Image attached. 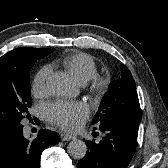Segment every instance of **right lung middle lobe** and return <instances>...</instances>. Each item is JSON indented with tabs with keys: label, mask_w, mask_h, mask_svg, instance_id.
Returning a JSON list of instances; mask_svg holds the SVG:
<instances>
[{
	"label": "right lung middle lobe",
	"mask_w": 168,
	"mask_h": 168,
	"mask_svg": "<svg viewBox=\"0 0 168 168\" xmlns=\"http://www.w3.org/2000/svg\"><path fill=\"white\" fill-rule=\"evenodd\" d=\"M53 49L25 53L17 65L6 75L0 77V129L20 125L31 107L29 70L37 59L51 53Z\"/></svg>",
	"instance_id": "1"
}]
</instances>
